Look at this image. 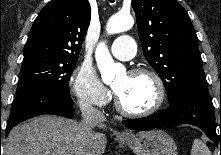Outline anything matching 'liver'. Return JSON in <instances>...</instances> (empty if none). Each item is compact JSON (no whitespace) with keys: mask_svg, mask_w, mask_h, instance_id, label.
<instances>
[{"mask_svg":"<svg viewBox=\"0 0 221 155\" xmlns=\"http://www.w3.org/2000/svg\"><path fill=\"white\" fill-rule=\"evenodd\" d=\"M100 128H106L102 123ZM88 144L84 122L42 115L13 128L4 142L3 155H102L105 135L96 133Z\"/></svg>","mask_w":221,"mask_h":155,"instance_id":"liver-1","label":"liver"}]
</instances>
